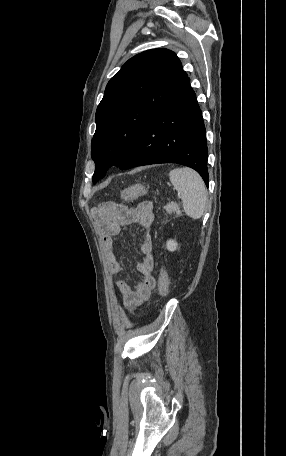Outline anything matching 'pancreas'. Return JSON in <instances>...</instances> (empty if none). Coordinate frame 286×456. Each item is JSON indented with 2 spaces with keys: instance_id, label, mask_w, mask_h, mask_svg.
<instances>
[{
  "instance_id": "1",
  "label": "pancreas",
  "mask_w": 286,
  "mask_h": 456,
  "mask_svg": "<svg viewBox=\"0 0 286 456\" xmlns=\"http://www.w3.org/2000/svg\"><path fill=\"white\" fill-rule=\"evenodd\" d=\"M164 209L167 211L168 214L176 213L178 216L182 215L179 206L174 202L167 203L164 206Z\"/></svg>"
}]
</instances>
